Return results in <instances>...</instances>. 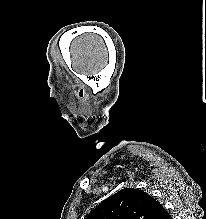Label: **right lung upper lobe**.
I'll return each mask as SVG.
<instances>
[{
    "instance_id": "cb5924a9",
    "label": "right lung upper lobe",
    "mask_w": 206,
    "mask_h": 219,
    "mask_svg": "<svg viewBox=\"0 0 206 219\" xmlns=\"http://www.w3.org/2000/svg\"><path fill=\"white\" fill-rule=\"evenodd\" d=\"M85 219H172L148 193L125 188L102 201Z\"/></svg>"
}]
</instances>
